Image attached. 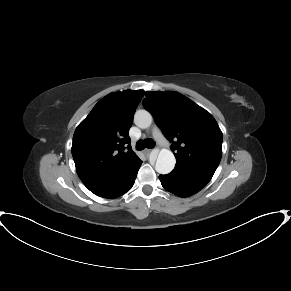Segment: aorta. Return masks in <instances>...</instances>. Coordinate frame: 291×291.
Listing matches in <instances>:
<instances>
[{
	"label": "aorta",
	"mask_w": 291,
	"mask_h": 291,
	"mask_svg": "<svg viewBox=\"0 0 291 291\" xmlns=\"http://www.w3.org/2000/svg\"><path fill=\"white\" fill-rule=\"evenodd\" d=\"M134 123L141 129L148 128L152 123V115L146 110H138L134 115ZM175 157L168 149H162L155 163V170L159 174H168L175 167Z\"/></svg>",
	"instance_id": "obj_1"
}]
</instances>
